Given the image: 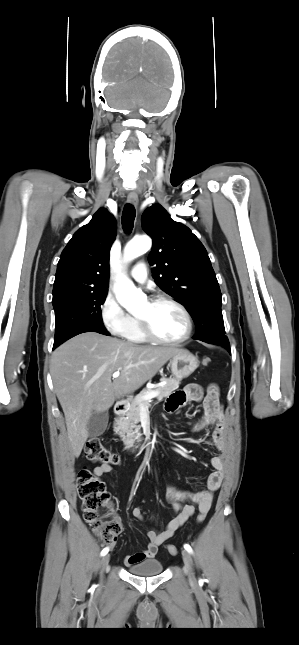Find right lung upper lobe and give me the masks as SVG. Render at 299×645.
<instances>
[{
    "mask_svg": "<svg viewBox=\"0 0 299 645\" xmlns=\"http://www.w3.org/2000/svg\"><path fill=\"white\" fill-rule=\"evenodd\" d=\"M115 236L114 218L106 209H99L63 250L55 276L53 301L64 293L108 291L109 252Z\"/></svg>",
    "mask_w": 299,
    "mask_h": 645,
    "instance_id": "1",
    "label": "right lung upper lobe"
}]
</instances>
